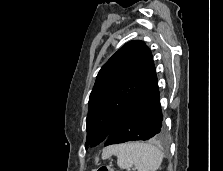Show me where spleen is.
<instances>
[{
  "label": "spleen",
  "mask_w": 223,
  "mask_h": 171,
  "mask_svg": "<svg viewBox=\"0 0 223 171\" xmlns=\"http://www.w3.org/2000/svg\"><path fill=\"white\" fill-rule=\"evenodd\" d=\"M112 153L117 156L120 169L134 168L137 171H156L163 160V153L154 145L140 142L114 146Z\"/></svg>",
  "instance_id": "1"
}]
</instances>
